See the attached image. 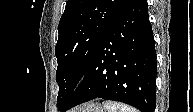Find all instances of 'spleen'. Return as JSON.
<instances>
[{"label":"spleen","instance_id":"1","mask_svg":"<svg viewBox=\"0 0 193 112\" xmlns=\"http://www.w3.org/2000/svg\"><path fill=\"white\" fill-rule=\"evenodd\" d=\"M104 108L108 112H138L133 107H130L122 103L112 102V101H106L104 103Z\"/></svg>","mask_w":193,"mask_h":112}]
</instances>
